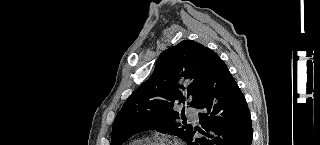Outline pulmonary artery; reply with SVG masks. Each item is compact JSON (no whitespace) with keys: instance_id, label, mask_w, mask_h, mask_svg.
Segmentation results:
<instances>
[{"instance_id":"e3ab8cb5","label":"pulmonary artery","mask_w":320,"mask_h":145,"mask_svg":"<svg viewBox=\"0 0 320 145\" xmlns=\"http://www.w3.org/2000/svg\"><path fill=\"white\" fill-rule=\"evenodd\" d=\"M187 117L193 121V122H198V112L195 108H190L187 110Z\"/></svg>"}]
</instances>
